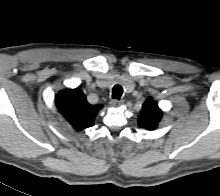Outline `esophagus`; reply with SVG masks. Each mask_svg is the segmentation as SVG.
Returning <instances> with one entry per match:
<instances>
[{
  "instance_id": "obj_1",
  "label": "esophagus",
  "mask_w": 220,
  "mask_h": 196,
  "mask_svg": "<svg viewBox=\"0 0 220 196\" xmlns=\"http://www.w3.org/2000/svg\"><path fill=\"white\" fill-rule=\"evenodd\" d=\"M122 104V101L121 100H112L111 102H110V105L112 106V107H114V108H118V107H120V105Z\"/></svg>"
}]
</instances>
